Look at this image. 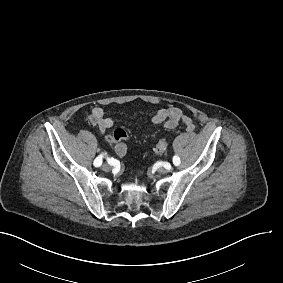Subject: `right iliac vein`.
Instances as JSON below:
<instances>
[{
	"label": "right iliac vein",
	"instance_id": "obj_1",
	"mask_svg": "<svg viewBox=\"0 0 283 283\" xmlns=\"http://www.w3.org/2000/svg\"><path fill=\"white\" fill-rule=\"evenodd\" d=\"M102 169H103V171H105V172H109L111 169H112V167H111V165L110 164H104L103 166H102Z\"/></svg>",
	"mask_w": 283,
	"mask_h": 283
}]
</instances>
